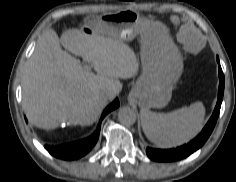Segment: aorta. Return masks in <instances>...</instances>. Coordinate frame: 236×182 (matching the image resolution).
I'll list each match as a JSON object with an SVG mask.
<instances>
[{"label": "aorta", "instance_id": "aorta-1", "mask_svg": "<svg viewBox=\"0 0 236 182\" xmlns=\"http://www.w3.org/2000/svg\"><path fill=\"white\" fill-rule=\"evenodd\" d=\"M118 120L123 125H133L136 122V113L130 107H121L118 112Z\"/></svg>", "mask_w": 236, "mask_h": 182}]
</instances>
